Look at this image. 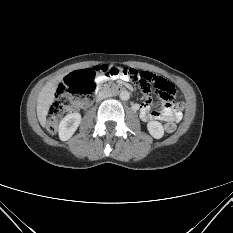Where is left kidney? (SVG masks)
<instances>
[{
    "label": "left kidney",
    "mask_w": 233,
    "mask_h": 233,
    "mask_svg": "<svg viewBox=\"0 0 233 233\" xmlns=\"http://www.w3.org/2000/svg\"><path fill=\"white\" fill-rule=\"evenodd\" d=\"M147 129L152 137L160 139L164 135L163 125L158 121H150L147 124Z\"/></svg>",
    "instance_id": "obj_1"
}]
</instances>
